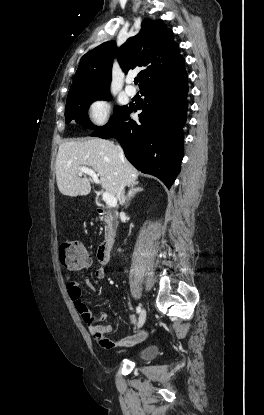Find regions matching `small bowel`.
<instances>
[{
  "label": "small bowel",
  "instance_id": "c3829d8e",
  "mask_svg": "<svg viewBox=\"0 0 264 415\" xmlns=\"http://www.w3.org/2000/svg\"><path fill=\"white\" fill-rule=\"evenodd\" d=\"M85 267V266H84ZM84 267L78 268L77 270H82ZM94 276L96 279H103L106 276V271L103 266H99L94 271ZM82 284H87L86 279L83 275L77 278H67L66 280V290L69 294L70 299L74 302L76 310L81 315L82 319L89 323L88 331L93 336V338L99 343V345L105 349H114L122 348L126 346H131L139 342L144 341L147 336V331H142L140 333H135L131 335L124 336L119 339H108L107 334L113 332L114 328L111 324H98L96 323L99 319H105L108 317L105 313H96L91 315L82 300ZM135 315H129L126 317L125 322L127 324H133L135 322Z\"/></svg>",
  "mask_w": 264,
  "mask_h": 415
}]
</instances>
